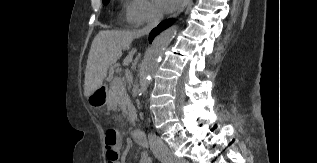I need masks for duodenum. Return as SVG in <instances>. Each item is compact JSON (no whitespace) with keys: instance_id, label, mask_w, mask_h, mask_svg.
I'll use <instances>...</instances> for the list:
<instances>
[{"instance_id":"obj_1","label":"duodenum","mask_w":317,"mask_h":163,"mask_svg":"<svg viewBox=\"0 0 317 163\" xmlns=\"http://www.w3.org/2000/svg\"><path fill=\"white\" fill-rule=\"evenodd\" d=\"M134 141L139 144L140 146H146L147 145V141H146V137L143 131L141 130H135L133 132L132 135Z\"/></svg>"}]
</instances>
